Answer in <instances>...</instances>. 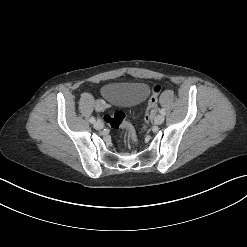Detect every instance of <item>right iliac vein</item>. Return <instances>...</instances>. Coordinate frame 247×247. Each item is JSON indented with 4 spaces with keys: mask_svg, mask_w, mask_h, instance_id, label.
<instances>
[{
    "mask_svg": "<svg viewBox=\"0 0 247 247\" xmlns=\"http://www.w3.org/2000/svg\"><path fill=\"white\" fill-rule=\"evenodd\" d=\"M94 127L98 130L102 129L104 127L103 125V122L101 120H97L95 123H94Z\"/></svg>",
    "mask_w": 247,
    "mask_h": 247,
    "instance_id": "right-iliac-vein-1",
    "label": "right iliac vein"
}]
</instances>
